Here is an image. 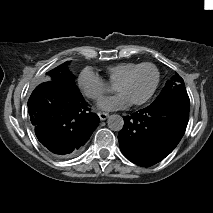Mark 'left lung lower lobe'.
I'll return each mask as SVG.
<instances>
[{
    "mask_svg": "<svg viewBox=\"0 0 213 213\" xmlns=\"http://www.w3.org/2000/svg\"><path fill=\"white\" fill-rule=\"evenodd\" d=\"M190 104L167 98L124 117L118 134L124 156L140 166L164 159L181 140L189 119Z\"/></svg>",
    "mask_w": 213,
    "mask_h": 213,
    "instance_id": "obj_1",
    "label": "left lung lower lobe"
}]
</instances>
